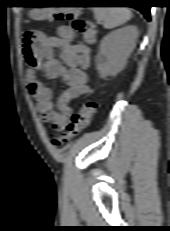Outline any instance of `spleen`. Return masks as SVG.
Here are the masks:
<instances>
[{
    "label": "spleen",
    "mask_w": 170,
    "mask_h": 231,
    "mask_svg": "<svg viewBox=\"0 0 170 231\" xmlns=\"http://www.w3.org/2000/svg\"><path fill=\"white\" fill-rule=\"evenodd\" d=\"M93 12L98 21H102L105 29H113L123 25L131 18L127 7H94Z\"/></svg>",
    "instance_id": "3e777b00"
}]
</instances>
